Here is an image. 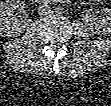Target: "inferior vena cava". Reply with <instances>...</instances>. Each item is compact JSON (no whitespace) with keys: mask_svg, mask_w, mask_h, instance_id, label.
I'll use <instances>...</instances> for the list:
<instances>
[{"mask_svg":"<svg viewBox=\"0 0 111 106\" xmlns=\"http://www.w3.org/2000/svg\"><path fill=\"white\" fill-rule=\"evenodd\" d=\"M51 11V8L48 4L42 3L38 6V13L41 15H46Z\"/></svg>","mask_w":111,"mask_h":106,"instance_id":"602c4592","label":"inferior vena cava"}]
</instances>
